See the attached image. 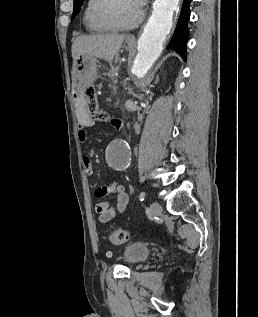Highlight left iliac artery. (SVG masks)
Wrapping results in <instances>:
<instances>
[{
	"label": "left iliac artery",
	"mask_w": 258,
	"mask_h": 317,
	"mask_svg": "<svg viewBox=\"0 0 258 317\" xmlns=\"http://www.w3.org/2000/svg\"><path fill=\"white\" fill-rule=\"evenodd\" d=\"M146 197V193L144 191H142L140 194H139V201H143Z\"/></svg>",
	"instance_id": "obj_1"
}]
</instances>
